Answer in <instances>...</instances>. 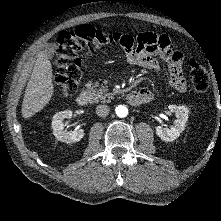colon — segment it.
Masks as SVG:
<instances>
[{"instance_id":"1","label":"colon","mask_w":221,"mask_h":221,"mask_svg":"<svg viewBox=\"0 0 221 221\" xmlns=\"http://www.w3.org/2000/svg\"><path fill=\"white\" fill-rule=\"evenodd\" d=\"M129 37L118 32L104 33L90 25H83L76 30L62 31L57 38L56 49V88L63 96L73 95L82 73L80 53L84 50H98L112 43L121 46L128 44ZM191 83L200 93L209 88V76L206 69L197 61H191Z\"/></svg>"}]
</instances>
